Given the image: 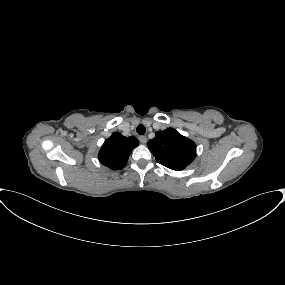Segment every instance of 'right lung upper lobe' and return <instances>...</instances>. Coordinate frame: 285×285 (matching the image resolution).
Returning a JSON list of instances; mask_svg holds the SVG:
<instances>
[{
  "mask_svg": "<svg viewBox=\"0 0 285 285\" xmlns=\"http://www.w3.org/2000/svg\"><path fill=\"white\" fill-rule=\"evenodd\" d=\"M139 145L136 137H125L119 133H113L105 140L98 158L99 161L112 170L122 169L129 158L131 151Z\"/></svg>",
  "mask_w": 285,
  "mask_h": 285,
  "instance_id": "right-lung-upper-lobe-1",
  "label": "right lung upper lobe"
}]
</instances>
